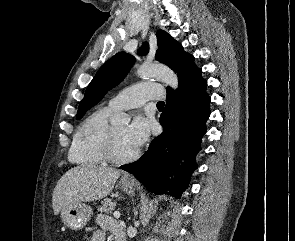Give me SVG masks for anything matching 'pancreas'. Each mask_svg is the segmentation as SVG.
<instances>
[{
  "label": "pancreas",
  "mask_w": 295,
  "mask_h": 241,
  "mask_svg": "<svg viewBox=\"0 0 295 241\" xmlns=\"http://www.w3.org/2000/svg\"><path fill=\"white\" fill-rule=\"evenodd\" d=\"M115 208V203L110 199H106L102 202V205L98 207L100 212L110 213Z\"/></svg>",
  "instance_id": "cf45deb5"
}]
</instances>
